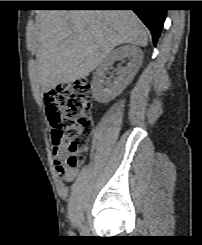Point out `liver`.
I'll use <instances>...</instances> for the list:
<instances>
[{
  "mask_svg": "<svg viewBox=\"0 0 202 245\" xmlns=\"http://www.w3.org/2000/svg\"><path fill=\"white\" fill-rule=\"evenodd\" d=\"M36 37L43 92L87 77L120 44H148V33L131 10H45Z\"/></svg>",
  "mask_w": 202,
  "mask_h": 245,
  "instance_id": "obj_1",
  "label": "liver"
}]
</instances>
